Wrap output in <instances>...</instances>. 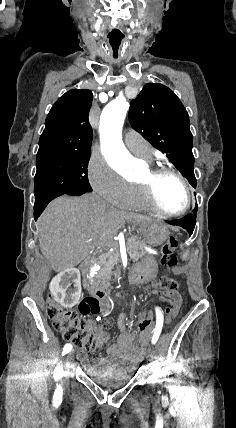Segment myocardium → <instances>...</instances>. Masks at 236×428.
Here are the masks:
<instances>
[{
	"label": "myocardium",
	"mask_w": 236,
	"mask_h": 428,
	"mask_svg": "<svg viewBox=\"0 0 236 428\" xmlns=\"http://www.w3.org/2000/svg\"><path fill=\"white\" fill-rule=\"evenodd\" d=\"M165 175H171L175 178H177L184 186L185 191H186V202L184 204V206L179 209V210H175V211H170L165 209L156 194V183L157 181L165 176ZM137 185L141 188L143 197L145 199V201L148 203V205L155 210L157 213L163 215V216H179L182 215L184 213H186L190 207H191V203H192V190H191V185L188 181V179L178 170L169 167V166H165V165H160L158 167H155L153 169H150L148 171V175L147 177L142 180L139 181L137 183Z\"/></svg>",
	"instance_id": "1"
}]
</instances>
